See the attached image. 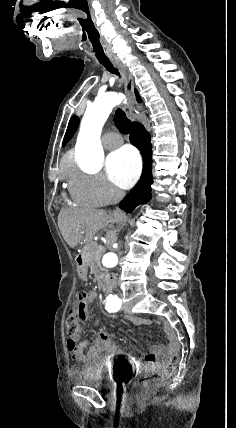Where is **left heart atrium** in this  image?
Listing matches in <instances>:
<instances>
[{"instance_id":"39dd6f15","label":"left heart atrium","mask_w":236,"mask_h":428,"mask_svg":"<svg viewBox=\"0 0 236 428\" xmlns=\"http://www.w3.org/2000/svg\"><path fill=\"white\" fill-rule=\"evenodd\" d=\"M106 171L116 185L130 188L141 173L140 157L133 148L123 146L107 158Z\"/></svg>"}]
</instances>
